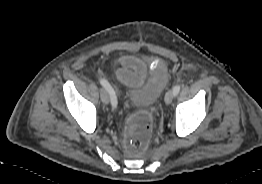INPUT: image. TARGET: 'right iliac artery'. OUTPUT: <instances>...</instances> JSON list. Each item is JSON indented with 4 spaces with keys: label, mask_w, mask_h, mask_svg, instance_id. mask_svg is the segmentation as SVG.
I'll list each match as a JSON object with an SVG mask.
<instances>
[{
    "label": "right iliac artery",
    "mask_w": 262,
    "mask_h": 184,
    "mask_svg": "<svg viewBox=\"0 0 262 184\" xmlns=\"http://www.w3.org/2000/svg\"><path fill=\"white\" fill-rule=\"evenodd\" d=\"M100 84L108 90L109 94H110V98H111V104L114 108L117 107V98L115 95V92L113 90V88L111 87V85L108 83L107 80L105 79H100Z\"/></svg>",
    "instance_id": "1"
}]
</instances>
